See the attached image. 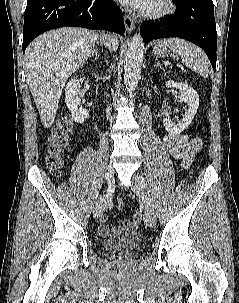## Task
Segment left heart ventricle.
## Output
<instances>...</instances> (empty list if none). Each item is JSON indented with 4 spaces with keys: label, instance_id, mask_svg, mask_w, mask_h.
Returning <instances> with one entry per match:
<instances>
[{
    "label": "left heart ventricle",
    "instance_id": "left-heart-ventricle-1",
    "mask_svg": "<svg viewBox=\"0 0 239 303\" xmlns=\"http://www.w3.org/2000/svg\"><path fill=\"white\" fill-rule=\"evenodd\" d=\"M160 0H152L148 8H155L158 6Z\"/></svg>",
    "mask_w": 239,
    "mask_h": 303
}]
</instances>
